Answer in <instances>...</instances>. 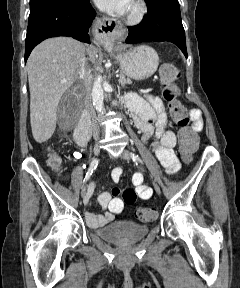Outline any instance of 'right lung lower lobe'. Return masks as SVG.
Returning <instances> with one entry per match:
<instances>
[{"label": "right lung lower lobe", "mask_w": 240, "mask_h": 288, "mask_svg": "<svg viewBox=\"0 0 240 288\" xmlns=\"http://www.w3.org/2000/svg\"><path fill=\"white\" fill-rule=\"evenodd\" d=\"M95 15L89 0L54 1L30 13L26 35L25 62L32 49L50 37L68 36L90 43L88 31Z\"/></svg>", "instance_id": "right-lung-lower-lobe-1"}]
</instances>
